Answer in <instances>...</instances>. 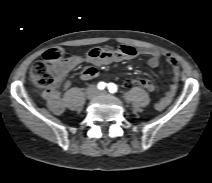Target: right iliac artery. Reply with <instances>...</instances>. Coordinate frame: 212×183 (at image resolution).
Wrapping results in <instances>:
<instances>
[{
	"label": "right iliac artery",
	"mask_w": 212,
	"mask_h": 183,
	"mask_svg": "<svg viewBox=\"0 0 212 183\" xmlns=\"http://www.w3.org/2000/svg\"><path fill=\"white\" fill-rule=\"evenodd\" d=\"M105 86H106V83H104V82H100V83L98 84V88H99L100 90H103V89L105 88Z\"/></svg>",
	"instance_id": "obj_1"
}]
</instances>
